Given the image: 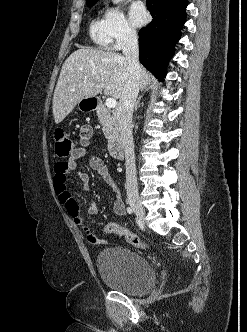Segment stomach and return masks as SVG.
I'll use <instances>...</instances> for the list:
<instances>
[{
    "mask_svg": "<svg viewBox=\"0 0 247 332\" xmlns=\"http://www.w3.org/2000/svg\"><path fill=\"white\" fill-rule=\"evenodd\" d=\"M89 99L90 98H86V99L81 100L78 103V108L80 110H90V109H92V107H91V100H89Z\"/></svg>",
    "mask_w": 247,
    "mask_h": 332,
    "instance_id": "stomach-1",
    "label": "stomach"
}]
</instances>
